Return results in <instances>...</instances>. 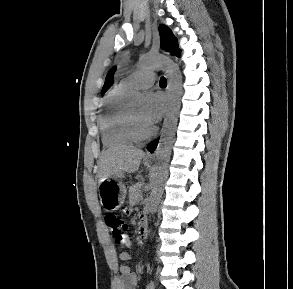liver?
I'll return each mask as SVG.
<instances>
[{
  "mask_svg": "<svg viewBox=\"0 0 293 289\" xmlns=\"http://www.w3.org/2000/svg\"><path fill=\"white\" fill-rule=\"evenodd\" d=\"M144 152L133 146L111 147L102 152L99 161V182L117 173L138 171Z\"/></svg>",
  "mask_w": 293,
  "mask_h": 289,
  "instance_id": "1",
  "label": "liver"
}]
</instances>
